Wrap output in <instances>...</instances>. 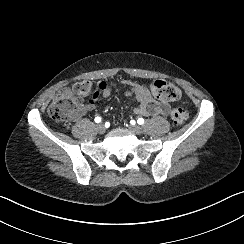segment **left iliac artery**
Returning a JSON list of instances; mask_svg holds the SVG:
<instances>
[{
  "label": "left iliac artery",
  "mask_w": 244,
  "mask_h": 244,
  "mask_svg": "<svg viewBox=\"0 0 244 244\" xmlns=\"http://www.w3.org/2000/svg\"><path fill=\"white\" fill-rule=\"evenodd\" d=\"M137 122H138V124L142 125V124L144 123V119H143V118H139V119L137 120Z\"/></svg>",
  "instance_id": "left-iliac-artery-1"
}]
</instances>
